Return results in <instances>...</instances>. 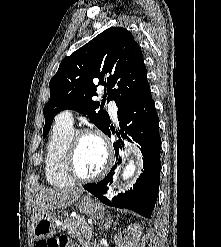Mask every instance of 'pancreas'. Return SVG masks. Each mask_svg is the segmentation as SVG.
Wrapping results in <instances>:
<instances>
[{"mask_svg": "<svg viewBox=\"0 0 221 247\" xmlns=\"http://www.w3.org/2000/svg\"><path fill=\"white\" fill-rule=\"evenodd\" d=\"M62 229L76 237L82 247H91V229L81 216L67 218L62 222Z\"/></svg>", "mask_w": 221, "mask_h": 247, "instance_id": "obj_1", "label": "pancreas"}]
</instances>
